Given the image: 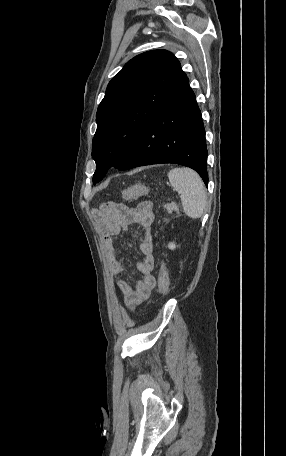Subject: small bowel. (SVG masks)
Instances as JSON below:
<instances>
[{
    "mask_svg": "<svg viewBox=\"0 0 286 456\" xmlns=\"http://www.w3.org/2000/svg\"><path fill=\"white\" fill-rule=\"evenodd\" d=\"M94 220L103 234V247L108 270L113 274L123 272V266L118 260L119 251L114 238L128 225L137 224L146 231L141 242L142 260L138 263L141 279L135 284L121 279L117 286L123 295L125 304L134 307L147 299L155 285L152 275L154 268L153 241L150 230L155 222V212L151 202H141L135 207L112 203L111 209L96 210Z\"/></svg>",
    "mask_w": 286,
    "mask_h": 456,
    "instance_id": "small-bowel-1",
    "label": "small bowel"
}]
</instances>
